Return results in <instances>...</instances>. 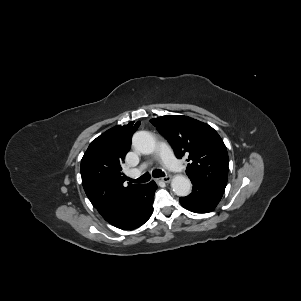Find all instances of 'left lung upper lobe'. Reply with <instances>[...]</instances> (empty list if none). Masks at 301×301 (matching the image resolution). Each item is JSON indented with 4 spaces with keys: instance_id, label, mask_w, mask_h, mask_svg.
Segmentation results:
<instances>
[{
    "instance_id": "5c2ea615",
    "label": "left lung upper lobe",
    "mask_w": 301,
    "mask_h": 301,
    "mask_svg": "<svg viewBox=\"0 0 301 301\" xmlns=\"http://www.w3.org/2000/svg\"><path fill=\"white\" fill-rule=\"evenodd\" d=\"M150 122L169 141L177 158L187 157L190 180L225 190L228 179V154L218 133L196 119L167 115Z\"/></svg>"
}]
</instances>
